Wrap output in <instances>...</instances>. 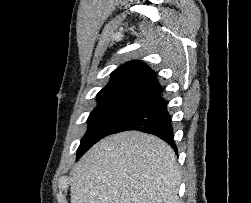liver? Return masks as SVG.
<instances>
[{
  "label": "liver",
  "instance_id": "1",
  "mask_svg": "<svg viewBox=\"0 0 251 203\" xmlns=\"http://www.w3.org/2000/svg\"><path fill=\"white\" fill-rule=\"evenodd\" d=\"M173 149L156 136L128 131L96 143L73 171L71 203H179Z\"/></svg>",
  "mask_w": 251,
  "mask_h": 203
}]
</instances>
